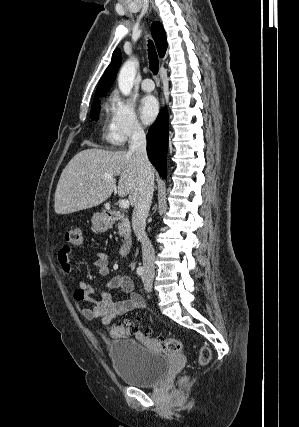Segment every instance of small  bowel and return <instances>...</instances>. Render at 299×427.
<instances>
[{
    "label": "small bowel",
    "mask_w": 299,
    "mask_h": 427,
    "mask_svg": "<svg viewBox=\"0 0 299 427\" xmlns=\"http://www.w3.org/2000/svg\"><path fill=\"white\" fill-rule=\"evenodd\" d=\"M75 260V252L67 246L63 247L58 255V261L65 273H71L74 270ZM94 264L101 276L109 274V260L105 252H97V259ZM112 290H120L127 294L128 298L116 301L112 298ZM94 295H98L99 298H94ZM73 298L77 302L90 303V307H83L80 310L85 320H99L105 326L109 325L113 319L144 306L142 298L134 292L132 279L124 275H116L102 286H92L86 281L80 280L73 293ZM137 335L143 337L140 331Z\"/></svg>",
    "instance_id": "1"
}]
</instances>
